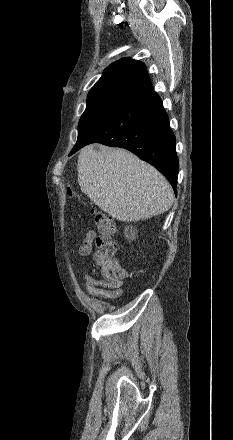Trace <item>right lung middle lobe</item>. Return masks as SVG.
I'll list each match as a JSON object with an SVG mask.
<instances>
[{
	"label": "right lung middle lobe",
	"mask_w": 233,
	"mask_h": 440,
	"mask_svg": "<svg viewBox=\"0 0 233 440\" xmlns=\"http://www.w3.org/2000/svg\"><path fill=\"white\" fill-rule=\"evenodd\" d=\"M124 105V103L111 101L88 102L86 110L79 121L77 143L103 125Z\"/></svg>",
	"instance_id": "1"
}]
</instances>
